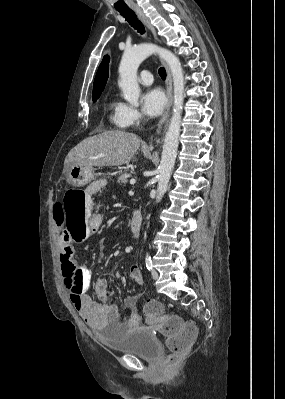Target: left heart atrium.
<instances>
[{"label": "left heart atrium", "instance_id": "obj_1", "mask_svg": "<svg viewBox=\"0 0 285 399\" xmlns=\"http://www.w3.org/2000/svg\"><path fill=\"white\" fill-rule=\"evenodd\" d=\"M166 103L167 99L164 92L158 88L150 89L142 96L143 111L150 117L162 114Z\"/></svg>", "mask_w": 285, "mask_h": 399}]
</instances>
